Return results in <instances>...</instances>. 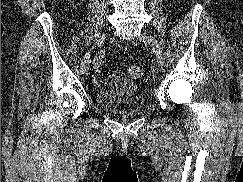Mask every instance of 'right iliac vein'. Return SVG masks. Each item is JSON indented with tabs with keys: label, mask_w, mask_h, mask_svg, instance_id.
<instances>
[{
	"label": "right iliac vein",
	"mask_w": 243,
	"mask_h": 182,
	"mask_svg": "<svg viewBox=\"0 0 243 182\" xmlns=\"http://www.w3.org/2000/svg\"><path fill=\"white\" fill-rule=\"evenodd\" d=\"M106 37H107L106 33H103V34L97 36V38L95 39V45L101 43L103 40L106 39ZM91 52H92V50L88 51L81 61V72H82V74H86V72L89 69Z\"/></svg>",
	"instance_id": "obj_1"
}]
</instances>
